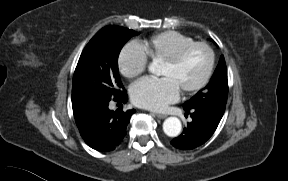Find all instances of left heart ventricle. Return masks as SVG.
I'll return each mask as SVG.
<instances>
[{
  "instance_id": "obj_1",
  "label": "left heart ventricle",
  "mask_w": 288,
  "mask_h": 181,
  "mask_svg": "<svg viewBox=\"0 0 288 181\" xmlns=\"http://www.w3.org/2000/svg\"><path fill=\"white\" fill-rule=\"evenodd\" d=\"M209 63L206 49L197 47L191 50L177 65L170 66L160 63L158 75L169 78L179 89L190 88L204 76Z\"/></svg>"
}]
</instances>
